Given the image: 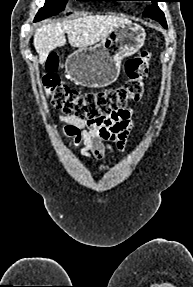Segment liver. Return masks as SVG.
Instances as JSON below:
<instances>
[{"instance_id": "obj_1", "label": "liver", "mask_w": 193, "mask_h": 287, "mask_svg": "<svg viewBox=\"0 0 193 287\" xmlns=\"http://www.w3.org/2000/svg\"><path fill=\"white\" fill-rule=\"evenodd\" d=\"M126 23L130 21L122 17L89 15L62 23L43 24L36 29L33 39L39 63H45L52 50L66 44L65 33L72 47L85 48L104 40L115 28Z\"/></svg>"}]
</instances>
